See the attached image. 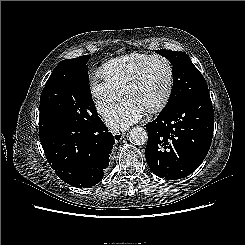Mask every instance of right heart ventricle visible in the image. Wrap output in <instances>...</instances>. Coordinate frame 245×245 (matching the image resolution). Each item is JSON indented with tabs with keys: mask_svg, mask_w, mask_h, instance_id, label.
Returning <instances> with one entry per match:
<instances>
[{
	"mask_svg": "<svg viewBox=\"0 0 245 245\" xmlns=\"http://www.w3.org/2000/svg\"><path fill=\"white\" fill-rule=\"evenodd\" d=\"M149 54L131 53L105 63L102 67L104 76L116 87L124 89L137 68L148 58Z\"/></svg>",
	"mask_w": 245,
	"mask_h": 245,
	"instance_id": "obj_1",
	"label": "right heart ventricle"
}]
</instances>
